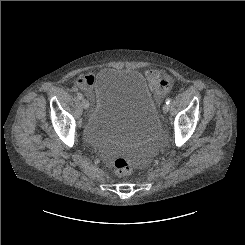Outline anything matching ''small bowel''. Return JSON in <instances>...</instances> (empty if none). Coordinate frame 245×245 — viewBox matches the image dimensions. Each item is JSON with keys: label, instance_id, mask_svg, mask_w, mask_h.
Wrapping results in <instances>:
<instances>
[{"label": "small bowel", "instance_id": "c3829d8e", "mask_svg": "<svg viewBox=\"0 0 245 245\" xmlns=\"http://www.w3.org/2000/svg\"><path fill=\"white\" fill-rule=\"evenodd\" d=\"M145 77L151 91L158 98H162L169 91L173 83L170 77L162 76L160 73L153 70L146 71ZM92 79V75H86L80 77L77 82L78 86L88 95L92 93Z\"/></svg>", "mask_w": 245, "mask_h": 245}]
</instances>
